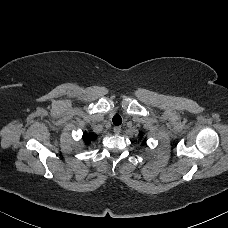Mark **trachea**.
Masks as SVG:
<instances>
[{
  "mask_svg": "<svg viewBox=\"0 0 228 228\" xmlns=\"http://www.w3.org/2000/svg\"><path fill=\"white\" fill-rule=\"evenodd\" d=\"M112 122H113V124H114L115 126L121 125V123H122V118H121V116L118 115V114H116V115L113 117Z\"/></svg>",
  "mask_w": 228,
  "mask_h": 228,
  "instance_id": "1",
  "label": "trachea"
}]
</instances>
